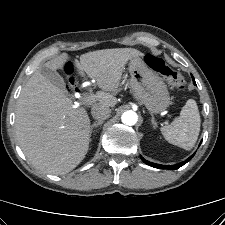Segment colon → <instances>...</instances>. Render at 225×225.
Returning a JSON list of instances; mask_svg holds the SVG:
<instances>
[{"label":"colon","mask_w":225,"mask_h":225,"mask_svg":"<svg viewBox=\"0 0 225 225\" xmlns=\"http://www.w3.org/2000/svg\"><path fill=\"white\" fill-rule=\"evenodd\" d=\"M147 65L155 72L162 75L167 84L176 90H182L185 87L183 75L166 64V62L153 54H148L145 58ZM69 87L72 91L77 90V85L73 79L69 80Z\"/></svg>","instance_id":"colon-1"}]
</instances>
